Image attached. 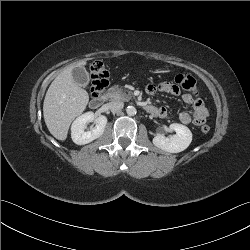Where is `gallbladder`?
Segmentation results:
<instances>
[{
  "label": "gallbladder",
  "instance_id": "1",
  "mask_svg": "<svg viewBox=\"0 0 250 250\" xmlns=\"http://www.w3.org/2000/svg\"><path fill=\"white\" fill-rule=\"evenodd\" d=\"M72 75L74 81L82 87H85L89 82V74L84 67H75L72 70Z\"/></svg>",
  "mask_w": 250,
  "mask_h": 250
}]
</instances>
